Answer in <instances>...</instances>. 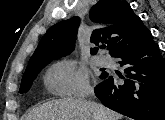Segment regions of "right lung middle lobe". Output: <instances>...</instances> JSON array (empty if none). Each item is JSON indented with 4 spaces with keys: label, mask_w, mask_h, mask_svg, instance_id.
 Here are the masks:
<instances>
[{
    "label": "right lung middle lobe",
    "mask_w": 165,
    "mask_h": 120,
    "mask_svg": "<svg viewBox=\"0 0 165 120\" xmlns=\"http://www.w3.org/2000/svg\"><path fill=\"white\" fill-rule=\"evenodd\" d=\"M51 60L54 59H45L38 61L36 63L30 64L27 66L26 71L23 75L21 86L19 93H26L30 89L32 82L37 77L38 73L42 70L44 66H46ZM107 73L103 72L100 76V78L106 77Z\"/></svg>",
    "instance_id": "1"
}]
</instances>
